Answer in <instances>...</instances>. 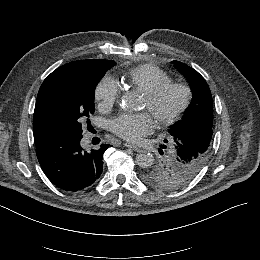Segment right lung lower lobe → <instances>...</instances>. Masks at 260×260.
<instances>
[{
  "mask_svg": "<svg viewBox=\"0 0 260 260\" xmlns=\"http://www.w3.org/2000/svg\"><path fill=\"white\" fill-rule=\"evenodd\" d=\"M81 138H60L36 148L40 166L48 179L59 189L78 192L93 185L103 168V154L109 147L85 151L80 145Z\"/></svg>",
  "mask_w": 260,
  "mask_h": 260,
  "instance_id": "right-lung-lower-lobe-1",
  "label": "right lung lower lobe"
}]
</instances>
